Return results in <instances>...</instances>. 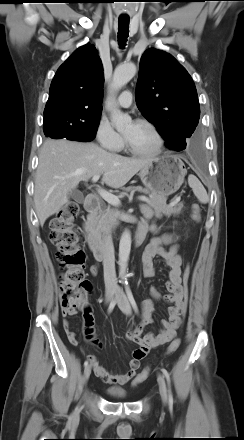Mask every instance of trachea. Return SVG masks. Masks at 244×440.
I'll return each mask as SVG.
<instances>
[{"mask_svg": "<svg viewBox=\"0 0 244 440\" xmlns=\"http://www.w3.org/2000/svg\"><path fill=\"white\" fill-rule=\"evenodd\" d=\"M129 35V19L120 18L118 23V42L121 48H124Z\"/></svg>", "mask_w": 244, "mask_h": 440, "instance_id": "3493384b", "label": "trachea"}]
</instances>
